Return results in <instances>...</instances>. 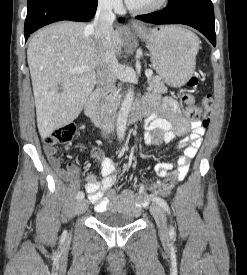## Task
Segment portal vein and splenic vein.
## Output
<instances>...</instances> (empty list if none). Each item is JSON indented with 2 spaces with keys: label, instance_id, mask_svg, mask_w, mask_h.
I'll list each match as a JSON object with an SVG mask.
<instances>
[{
  "label": "portal vein and splenic vein",
  "instance_id": "portal-vein-and-splenic-vein-1",
  "mask_svg": "<svg viewBox=\"0 0 247 275\" xmlns=\"http://www.w3.org/2000/svg\"><path fill=\"white\" fill-rule=\"evenodd\" d=\"M87 69H88V67L81 66V67H75V68L71 69V71L79 73V72H83ZM145 75H146L147 78H150L153 75V71L148 69V70L145 71Z\"/></svg>",
  "mask_w": 247,
  "mask_h": 275
}]
</instances>
